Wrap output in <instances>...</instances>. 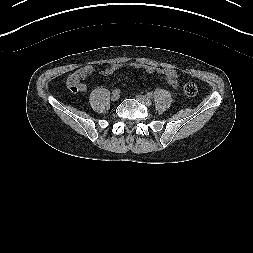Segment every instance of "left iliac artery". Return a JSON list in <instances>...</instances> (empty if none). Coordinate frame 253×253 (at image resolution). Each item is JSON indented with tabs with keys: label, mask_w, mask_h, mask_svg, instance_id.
I'll return each mask as SVG.
<instances>
[{
	"label": "left iliac artery",
	"mask_w": 253,
	"mask_h": 253,
	"mask_svg": "<svg viewBox=\"0 0 253 253\" xmlns=\"http://www.w3.org/2000/svg\"><path fill=\"white\" fill-rule=\"evenodd\" d=\"M152 96H153L152 93H150V92L147 93V97L152 98Z\"/></svg>",
	"instance_id": "44dca946"
}]
</instances>
